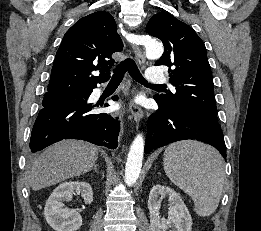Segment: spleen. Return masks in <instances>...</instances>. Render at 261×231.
Returning a JSON list of instances; mask_svg holds the SVG:
<instances>
[{
	"label": "spleen",
	"instance_id": "obj_1",
	"mask_svg": "<svg viewBox=\"0 0 261 231\" xmlns=\"http://www.w3.org/2000/svg\"><path fill=\"white\" fill-rule=\"evenodd\" d=\"M164 171L192 198L199 216L216 210L225 179L223 159L217 150L192 140L173 143L164 152Z\"/></svg>",
	"mask_w": 261,
	"mask_h": 231
}]
</instances>
